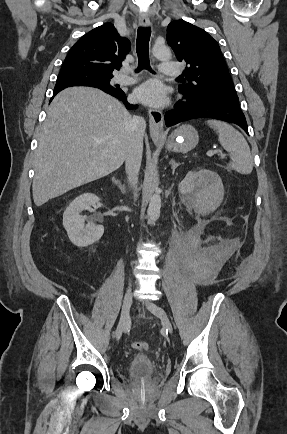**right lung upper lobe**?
<instances>
[{"label": "right lung upper lobe", "instance_id": "cb5924a9", "mask_svg": "<svg viewBox=\"0 0 287 434\" xmlns=\"http://www.w3.org/2000/svg\"><path fill=\"white\" fill-rule=\"evenodd\" d=\"M131 49L130 41L121 37L114 25L103 24L84 36L71 48L61 70H82L102 75H112ZM87 84L67 81L56 83L55 88ZM108 90V89H104Z\"/></svg>", "mask_w": 287, "mask_h": 434}]
</instances>
